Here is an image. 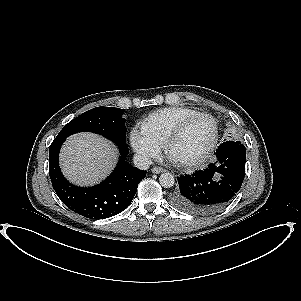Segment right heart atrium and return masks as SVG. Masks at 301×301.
Returning <instances> with one entry per match:
<instances>
[{"label":"right heart atrium","instance_id":"right-heart-atrium-1","mask_svg":"<svg viewBox=\"0 0 301 301\" xmlns=\"http://www.w3.org/2000/svg\"><path fill=\"white\" fill-rule=\"evenodd\" d=\"M130 143L136 154L145 162L158 158L161 153V146L137 128L130 132Z\"/></svg>","mask_w":301,"mask_h":301}]
</instances>
